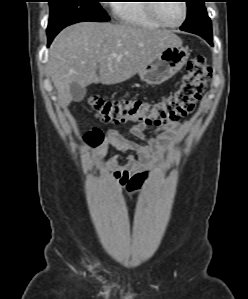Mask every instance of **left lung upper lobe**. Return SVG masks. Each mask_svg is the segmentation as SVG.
Wrapping results in <instances>:
<instances>
[{
  "label": "left lung upper lobe",
  "instance_id": "obj_1",
  "mask_svg": "<svg viewBox=\"0 0 248 299\" xmlns=\"http://www.w3.org/2000/svg\"><path fill=\"white\" fill-rule=\"evenodd\" d=\"M188 6L186 21L181 26V30L198 34L205 31L212 35L211 20L205 8V0H185Z\"/></svg>",
  "mask_w": 248,
  "mask_h": 299
}]
</instances>
